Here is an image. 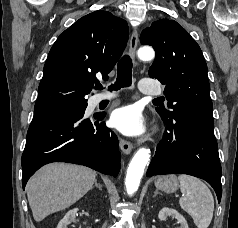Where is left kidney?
Here are the masks:
<instances>
[{"label":"left kidney","mask_w":238,"mask_h":228,"mask_svg":"<svg viewBox=\"0 0 238 228\" xmlns=\"http://www.w3.org/2000/svg\"><path fill=\"white\" fill-rule=\"evenodd\" d=\"M167 217L175 218L177 222L180 224L179 228H188V224L185 218L180 213H178V211H176L175 209H171L167 207L162 208L158 214V218L161 221H164L167 219Z\"/></svg>","instance_id":"left-kidney-1"}]
</instances>
